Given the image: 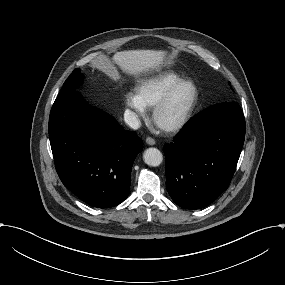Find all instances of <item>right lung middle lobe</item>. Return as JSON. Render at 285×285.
I'll use <instances>...</instances> for the list:
<instances>
[{
	"label": "right lung middle lobe",
	"mask_w": 285,
	"mask_h": 285,
	"mask_svg": "<svg viewBox=\"0 0 285 285\" xmlns=\"http://www.w3.org/2000/svg\"><path fill=\"white\" fill-rule=\"evenodd\" d=\"M82 78L83 75L80 73L79 69H75L65 81L59 95L68 91L76 90L81 85L83 81Z\"/></svg>",
	"instance_id": "1"
}]
</instances>
